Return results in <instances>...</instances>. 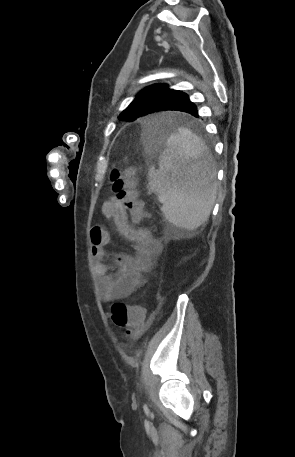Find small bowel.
Returning <instances> with one entry per match:
<instances>
[{
	"label": "small bowel",
	"mask_w": 295,
	"mask_h": 457,
	"mask_svg": "<svg viewBox=\"0 0 295 457\" xmlns=\"http://www.w3.org/2000/svg\"><path fill=\"white\" fill-rule=\"evenodd\" d=\"M102 215L113 221L119 233L133 242L135 250L133 255H112L111 264L106 251L110 242L109 232L103 226L91 229L94 269L101 281L102 298L109 302L127 298L143 285V275L152 269L161 244L147 228L134 227L129 223L125 209L115 196L103 203Z\"/></svg>",
	"instance_id": "c3829d8e"
}]
</instances>
